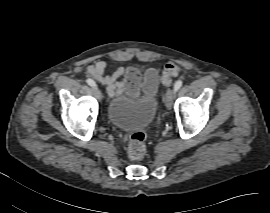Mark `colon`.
I'll list each match as a JSON object with an SVG mask.
<instances>
[{"instance_id": "1", "label": "colon", "mask_w": 270, "mask_h": 213, "mask_svg": "<svg viewBox=\"0 0 270 213\" xmlns=\"http://www.w3.org/2000/svg\"><path fill=\"white\" fill-rule=\"evenodd\" d=\"M179 67L173 63L166 64L161 74V81L164 85H170L172 78L179 72ZM127 154L133 161L141 160L146 154V132H133L128 141Z\"/></svg>"}]
</instances>
